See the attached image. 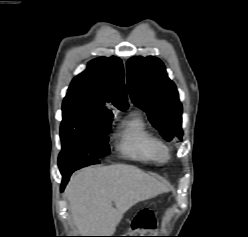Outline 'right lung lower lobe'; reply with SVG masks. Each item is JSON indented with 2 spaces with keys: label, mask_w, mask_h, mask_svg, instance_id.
I'll return each instance as SVG.
<instances>
[{
  "label": "right lung lower lobe",
  "mask_w": 248,
  "mask_h": 237,
  "mask_svg": "<svg viewBox=\"0 0 248 237\" xmlns=\"http://www.w3.org/2000/svg\"><path fill=\"white\" fill-rule=\"evenodd\" d=\"M100 163L98 159L91 158V157H84V158H70L66 160H59V169L63 176L62 184H61V191L64 190L70 175L75 171L82 167L89 166L92 164Z\"/></svg>",
  "instance_id": "1"
}]
</instances>
